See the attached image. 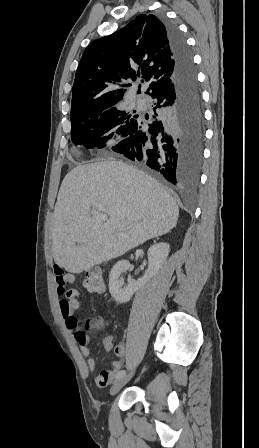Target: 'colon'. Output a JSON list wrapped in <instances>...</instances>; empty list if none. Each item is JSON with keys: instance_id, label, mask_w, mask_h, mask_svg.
Wrapping results in <instances>:
<instances>
[{"instance_id": "obj_1", "label": "colon", "mask_w": 259, "mask_h": 448, "mask_svg": "<svg viewBox=\"0 0 259 448\" xmlns=\"http://www.w3.org/2000/svg\"><path fill=\"white\" fill-rule=\"evenodd\" d=\"M83 288L88 293L102 294L106 289L105 279L99 269H89L83 279Z\"/></svg>"}]
</instances>
